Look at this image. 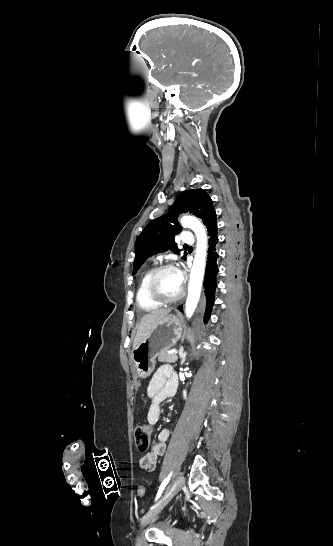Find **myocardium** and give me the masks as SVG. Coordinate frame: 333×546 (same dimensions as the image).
I'll return each instance as SVG.
<instances>
[{"mask_svg": "<svg viewBox=\"0 0 333 546\" xmlns=\"http://www.w3.org/2000/svg\"><path fill=\"white\" fill-rule=\"evenodd\" d=\"M167 270H175L176 271V267L172 264H163V265H160L158 267H156L154 270H152L148 280H147V286H146V289H147V293L149 295V297L163 305V304H172V303H175L179 300H181L184 295H185V290L184 288L182 287L180 293L175 296V297H172V298H165L163 297L157 290L156 288V280H157V277L164 271H167Z\"/></svg>", "mask_w": 333, "mask_h": 546, "instance_id": "1", "label": "myocardium"}]
</instances>
